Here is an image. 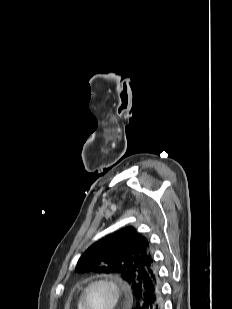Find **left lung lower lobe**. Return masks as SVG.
<instances>
[{"label": "left lung lower lobe", "instance_id": "left-lung-lower-lobe-1", "mask_svg": "<svg viewBox=\"0 0 232 309\" xmlns=\"http://www.w3.org/2000/svg\"><path fill=\"white\" fill-rule=\"evenodd\" d=\"M164 298L157 275L153 278L144 298L138 302L137 309H163Z\"/></svg>", "mask_w": 232, "mask_h": 309}]
</instances>
